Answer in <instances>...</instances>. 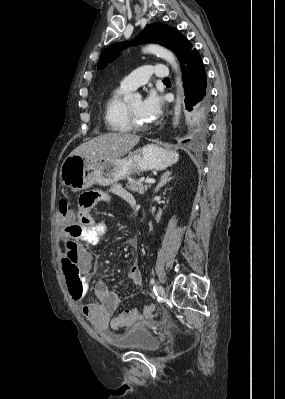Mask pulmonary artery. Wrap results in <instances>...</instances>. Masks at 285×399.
Segmentation results:
<instances>
[{
  "label": "pulmonary artery",
  "instance_id": "1",
  "mask_svg": "<svg viewBox=\"0 0 285 399\" xmlns=\"http://www.w3.org/2000/svg\"><path fill=\"white\" fill-rule=\"evenodd\" d=\"M165 79L169 77V70L165 64L154 63L138 68L126 75L120 82V86L127 90H134L143 85L150 77Z\"/></svg>",
  "mask_w": 285,
  "mask_h": 399
}]
</instances>
